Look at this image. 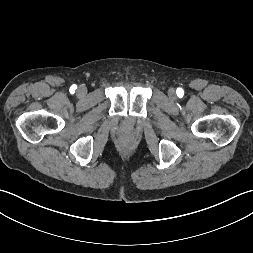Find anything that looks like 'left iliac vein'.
I'll list each match as a JSON object with an SVG mask.
<instances>
[{"instance_id": "1", "label": "left iliac vein", "mask_w": 253, "mask_h": 253, "mask_svg": "<svg viewBox=\"0 0 253 253\" xmlns=\"http://www.w3.org/2000/svg\"><path fill=\"white\" fill-rule=\"evenodd\" d=\"M168 95L172 99L176 98V92H175V90L174 89H169Z\"/></svg>"}]
</instances>
